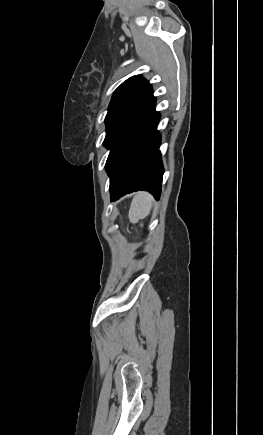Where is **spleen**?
Here are the masks:
<instances>
[{
  "mask_svg": "<svg viewBox=\"0 0 263 435\" xmlns=\"http://www.w3.org/2000/svg\"><path fill=\"white\" fill-rule=\"evenodd\" d=\"M153 198L148 193L137 194L131 203L129 210V218L135 222L139 219H143L150 214L152 208Z\"/></svg>",
  "mask_w": 263,
  "mask_h": 435,
  "instance_id": "3e777b00",
  "label": "spleen"
}]
</instances>
